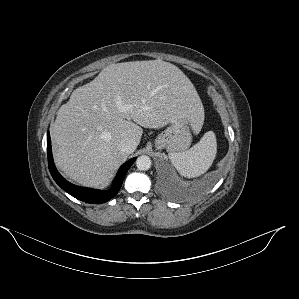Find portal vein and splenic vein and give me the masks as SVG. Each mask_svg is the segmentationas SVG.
Returning a JSON list of instances; mask_svg holds the SVG:
<instances>
[{"instance_id": "1", "label": "portal vein and splenic vein", "mask_w": 299, "mask_h": 299, "mask_svg": "<svg viewBox=\"0 0 299 299\" xmlns=\"http://www.w3.org/2000/svg\"><path fill=\"white\" fill-rule=\"evenodd\" d=\"M119 105V109L122 111V112H127L131 109V105H127V106H122L120 103H118Z\"/></svg>"}]
</instances>
